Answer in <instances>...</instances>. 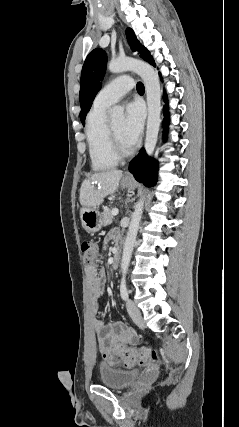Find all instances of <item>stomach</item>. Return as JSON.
Returning a JSON list of instances; mask_svg holds the SVG:
<instances>
[{
	"mask_svg": "<svg viewBox=\"0 0 239 427\" xmlns=\"http://www.w3.org/2000/svg\"><path fill=\"white\" fill-rule=\"evenodd\" d=\"M123 188L133 187L132 182L122 181ZM80 218L83 228L89 233L98 232L103 226V218L96 208L83 207L80 212Z\"/></svg>",
	"mask_w": 239,
	"mask_h": 427,
	"instance_id": "0dacf381",
	"label": "stomach"
}]
</instances>
